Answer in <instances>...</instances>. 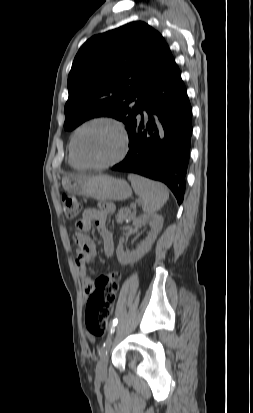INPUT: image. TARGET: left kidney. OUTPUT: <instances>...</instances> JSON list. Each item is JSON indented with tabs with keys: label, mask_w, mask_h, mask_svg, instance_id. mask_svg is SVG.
I'll use <instances>...</instances> for the list:
<instances>
[{
	"label": "left kidney",
	"mask_w": 253,
	"mask_h": 413,
	"mask_svg": "<svg viewBox=\"0 0 253 413\" xmlns=\"http://www.w3.org/2000/svg\"><path fill=\"white\" fill-rule=\"evenodd\" d=\"M146 223H149L151 230L149 231L146 239L137 247L136 250L131 252L125 251L123 247L124 237H120L119 245L116 250L119 263L123 265L135 263L151 249L152 244L163 226V217L158 214H145L136 218L132 225L133 227H138Z\"/></svg>",
	"instance_id": "obj_1"
}]
</instances>
